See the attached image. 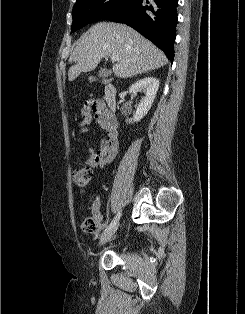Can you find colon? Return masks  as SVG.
<instances>
[{"instance_id": "colon-1", "label": "colon", "mask_w": 245, "mask_h": 314, "mask_svg": "<svg viewBox=\"0 0 245 314\" xmlns=\"http://www.w3.org/2000/svg\"><path fill=\"white\" fill-rule=\"evenodd\" d=\"M92 178V171L87 166H82L74 170L73 181L77 188L85 190ZM99 226L96 216L85 217L82 221V228L87 232H94Z\"/></svg>"}]
</instances>
